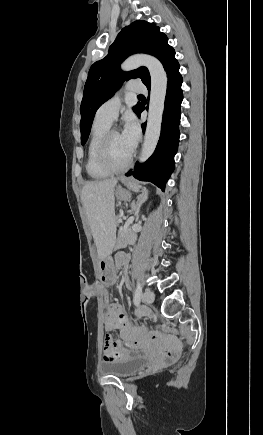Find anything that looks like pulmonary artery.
I'll return each mask as SVG.
<instances>
[{"instance_id": "1", "label": "pulmonary artery", "mask_w": 263, "mask_h": 435, "mask_svg": "<svg viewBox=\"0 0 263 435\" xmlns=\"http://www.w3.org/2000/svg\"><path fill=\"white\" fill-rule=\"evenodd\" d=\"M127 91L133 93H144L146 92V87L142 82L133 80L128 84ZM120 108L121 98L119 94H116L99 107L95 118L112 123L117 118Z\"/></svg>"}]
</instances>
